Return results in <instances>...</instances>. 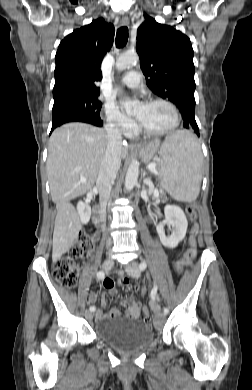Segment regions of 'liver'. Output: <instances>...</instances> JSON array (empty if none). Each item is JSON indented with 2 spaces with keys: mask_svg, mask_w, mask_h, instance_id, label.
Wrapping results in <instances>:
<instances>
[{
  "mask_svg": "<svg viewBox=\"0 0 252 390\" xmlns=\"http://www.w3.org/2000/svg\"><path fill=\"white\" fill-rule=\"evenodd\" d=\"M107 143L105 130L85 123L65 124L55 129L49 139L47 177L57 209L52 250L54 262L70 250L78 237L82 225L70 200L84 195L94 186ZM127 155V146H122L121 158Z\"/></svg>",
  "mask_w": 252,
  "mask_h": 390,
  "instance_id": "6515ba94",
  "label": "liver"
}]
</instances>
